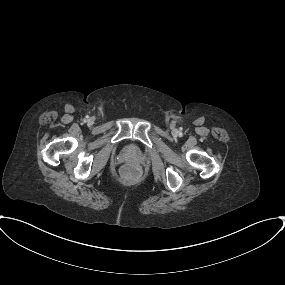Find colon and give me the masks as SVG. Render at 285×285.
<instances>
[{
    "label": "colon",
    "mask_w": 285,
    "mask_h": 285,
    "mask_svg": "<svg viewBox=\"0 0 285 285\" xmlns=\"http://www.w3.org/2000/svg\"><path fill=\"white\" fill-rule=\"evenodd\" d=\"M122 174L125 176H134L138 174V167L133 163H128L123 166Z\"/></svg>",
    "instance_id": "colon-1"
}]
</instances>
